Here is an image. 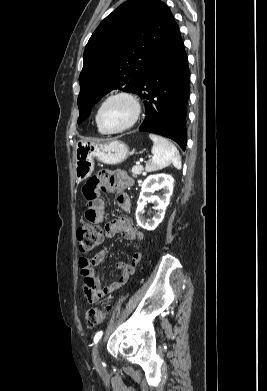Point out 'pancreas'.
Listing matches in <instances>:
<instances>
[{"label": "pancreas", "instance_id": "1", "mask_svg": "<svg viewBox=\"0 0 267 391\" xmlns=\"http://www.w3.org/2000/svg\"><path fill=\"white\" fill-rule=\"evenodd\" d=\"M143 170H144L143 166H140V165L139 166H133L132 169H131L132 176L134 178H136L137 175H140L141 173H143Z\"/></svg>", "mask_w": 267, "mask_h": 391}]
</instances>
